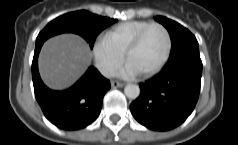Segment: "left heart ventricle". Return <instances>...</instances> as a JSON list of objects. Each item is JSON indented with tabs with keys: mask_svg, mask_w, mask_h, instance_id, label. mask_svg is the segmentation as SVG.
I'll use <instances>...</instances> for the list:
<instances>
[{
	"mask_svg": "<svg viewBox=\"0 0 238 145\" xmlns=\"http://www.w3.org/2000/svg\"><path fill=\"white\" fill-rule=\"evenodd\" d=\"M165 48L166 37L163 30L154 27L147 32L140 45L129 54L127 61L142 74L159 62Z\"/></svg>",
	"mask_w": 238,
	"mask_h": 145,
	"instance_id": "obj_1",
	"label": "left heart ventricle"
}]
</instances>
